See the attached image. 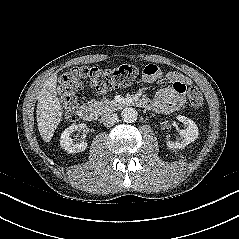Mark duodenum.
I'll use <instances>...</instances> for the list:
<instances>
[{
  "label": "duodenum",
  "mask_w": 239,
  "mask_h": 239,
  "mask_svg": "<svg viewBox=\"0 0 239 239\" xmlns=\"http://www.w3.org/2000/svg\"><path fill=\"white\" fill-rule=\"evenodd\" d=\"M130 103L142 109H151L152 107L151 102L143 98L131 100ZM79 115L84 121L91 122L96 119L97 112L89 105H82L79 109Z\"/></svg>",
  "instance_id": "1"
}]
</instances>
